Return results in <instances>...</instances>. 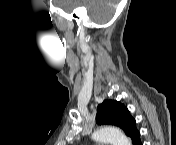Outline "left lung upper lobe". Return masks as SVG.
Listing matches in <instances>:
<instances>
[{"mask_svg":"<svg viewBox=\"0 0 176 145\" xmlns=\"http://www.w3.org/2000/svg\"><path fill=\"white\" fill-rule=\"evenodd\" d=\"M96 123L120 127L132 141L139 134L136 128V121L130 115L128 109L115 100H105L98 105Z\"/></svg>","mask_w":176,"mask_h":145,"instance_id":"1","label":"left lung upper lobe"}]
</instances>
